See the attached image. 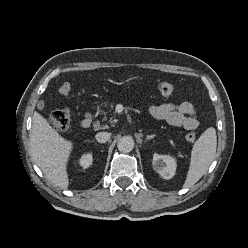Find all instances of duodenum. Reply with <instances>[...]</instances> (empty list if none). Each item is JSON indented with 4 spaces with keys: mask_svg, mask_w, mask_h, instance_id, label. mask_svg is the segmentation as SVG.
<instances>
[{
    "mask_svg": "<svg viewBox=\"0 0 248 248\" xmlns=\"http://www.w3.org/2000/svg\"><path fill=\"white\" fill-rule=\"evenodd\" d=\"M91 124H92V117L89 114L85 115L80 121V127L82 129L89 128Z\"/></svg>",
    "mask_w": 248,
    "mask_h": 248,
    "instance_id": "1",
    "label": "duodenum"
}]
</instances>
